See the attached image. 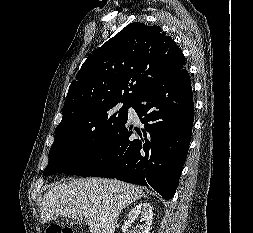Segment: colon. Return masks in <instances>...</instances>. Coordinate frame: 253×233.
Here are the masks:
<instances>
[{
	"label": "colon",
	"instance_id": "colon-1",
	"mask_svg": "<svg viewBox=\"0 0 253 233\" xmlns=\"http://www.w3.org/2000/svg\"><path fill=\"white\" fill-rule=\"evenodd\" d=\"M46 233H72V230L68 227L66 228H61L59 225H50Z\"/></svg>",
	"mask_w": 253,
	"mask_h": 233
}]
</instances>
